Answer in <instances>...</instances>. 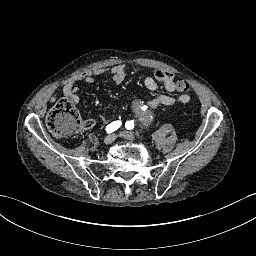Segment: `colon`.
<instances>
[{
  "instance_id": "colon-1",
  "label": "colon",
  "mask_w": 256,
  "mask_h": 256,
  "mask_svg": "<svg viewBox=\"0 0 256 256\" xmlns=\"http://www.w3.org/2000/svg\"><path fill=\"white\" fill-rule=\"evenodd\" d=\"M177 88L181 92L189 90L187 80L179 79ZM47 127L57 137H71L77 127L86 128L87 123L80 121V115L74 103L69 99L59 100L47 117Z\"/></svg>"
}]
</instances>
